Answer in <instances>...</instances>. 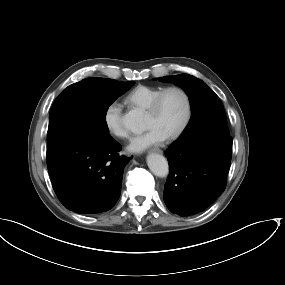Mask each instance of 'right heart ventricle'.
I'll list each match as a JSON object with an SVG mask.
<instances>
[{
  "instance_id": "obj_1",
  "label": "right heart ventricle",
  "mask_w": 285,
  "mask_h": 285,
  "mask_svg": "<svg viewBox=\"0 0 285 285\" xmlns=\"http://www.w3.org/2000/svg\"><path fill=\"white\" fill-rule=\"evenodd\" d=\"M161 90V87L138 85L127 93L123 101L130 107L147 109L151 101Z\"/></svg>"
}]
</instances>
